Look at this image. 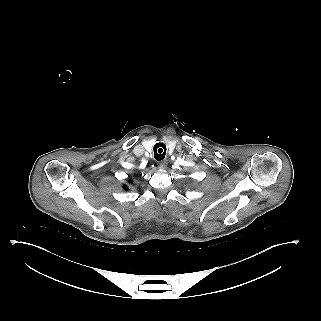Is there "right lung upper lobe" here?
I'll return each mask as SVG.
<instances>
[{
  "label": "right lung upper lobe",
  "mask_w": 321,
  "mask_h": 321,
  "mask_svg": "<svg viewBox=\"0 0 321 321\" xmlns=\"http://www.w3.org/2000/svg\"><path fill=\"white\" fill-rule=\"evenodd\" d=\"M130 182H132V181L129 180V183H130ZM123 188H124L125 190H128V187H127L126 185H124Z\"/></svg>",
  "instance_id": "right-lung-upper-lobe-1"
}]
</instances>
